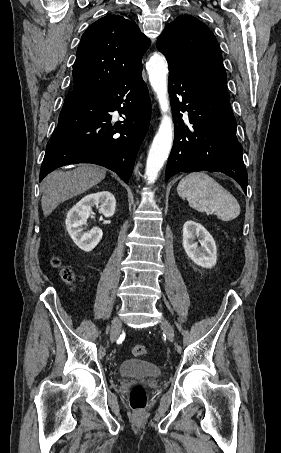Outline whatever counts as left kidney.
Masks as SVG:
<instances>
[{"label": "left kidney", "mask_w": 281, "mask_h": 453, "mask_svg": "<svg viewBox=\"0 0 281 453\" xmlns=\"http://www.w3.org/2000/svg\"><path fill=\"white\" fill-rule=\"evenodd\" d=\"M196 237L200 239L201 247H198V243H194ZM183 247L186 255L200 267L204 269H211L216 265L217 261V249L215 241L206 231L205 227H202L200 222L195 220H186L183 224Z\"/></svg>", "instance_id": "5707ae66"}]
</instances>
